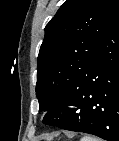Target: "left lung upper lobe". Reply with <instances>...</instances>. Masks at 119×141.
Segmentation results:
<instances>
[{
	"mask_svg": "<svg viewBox=\"0 0 119 141\" xmlns=\"http://www.w3.org/2000/svg\"><path fill=\"white\" fill-rule=\"evenodd\" d=\"M118 0H67L45 27L37 64L39 111H48L94 58Z\"/></svg>",
	"mask_w": 119,
	"mask_h": 141,
	"instance_id": "left-lung-upper-lobe-1",
	"label": "left lung upper lobe"
}]
</instances>
